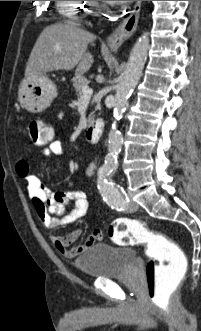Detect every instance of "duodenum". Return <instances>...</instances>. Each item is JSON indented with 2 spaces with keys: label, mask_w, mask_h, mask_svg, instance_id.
<instances>
[{
  "label": "duodenum",
  "mask_w": 201,
  "mask_h": 331,
  "mask_svg": "<svg viewBox=\"0 0 201 331\" xmlns=\"http://www.w3.org/2000/svg\"><path fill=\"white\" fill-rule=\"evenodd\" d=\"M103 132L104 122L100 119H97L88 125L85 136L92 144H96L100 141Z\"/></svg>",
  "instance_id": "obj_1"
}]
</instances>
